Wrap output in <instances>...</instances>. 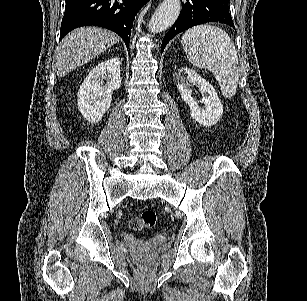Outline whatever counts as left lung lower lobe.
Here are the masks:
<instances>
[{
	"instance_id": "left-lung-lower-lobe-1",
	"label": "left lung lower lobe",
	"mask_w": 307,
	"mask_h": 301,
	"mask_svg": "<svg viewBox=\"0 0 307 301\" xmlns=\"http://www.w3.org/2000/svg\"><path fill=\"white\" fill-rule=\"evenodd\" d=\"M228 2L229 0H186L182 5L178 19L164 36L161 52L175 35L195 25L220 22L235 29L229 13Z\"/></svg>"
}]
</instances>
